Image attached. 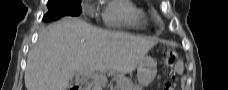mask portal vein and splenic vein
<instances>
[{"label": "portal vein and splenic vein", "mask_w": 228, "mask_h": 90, "mask_svg": "<svg viewBox=\"0 0 228 90\" xmlns=\"http://www.w3.org/2000/svg\"><path fill=\"white\" fill-rule=\"evenodd\" d=\"M94 70H87V69H84V70H81V71H78L77 73L80 74V75H85V76H92V73H93Z\"/></svg>", "instance_id": "18ae733b"}]
</instances>
